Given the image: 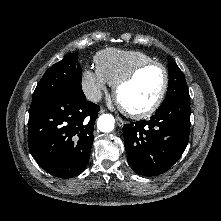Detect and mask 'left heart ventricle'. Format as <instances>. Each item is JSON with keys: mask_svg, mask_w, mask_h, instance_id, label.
Listing matches in <instances>:
<instances>
[{"mask_svg": "<svg viewBox=\"0 0 221 221\" xmlns=\"http://www.w3.org/2000/svg\"><path fill=\"white\" fill-rule=\"evenodd\" d=\"M163 80L164 76L160 68H146L120 90L118 99L124 107L130 110L145 109L156 99Z\"/></svg>", "mask_w": 221, "mask_h": 221, "instance_id": "obj_1", "label": "left heart ventricle"}]
</instances>
